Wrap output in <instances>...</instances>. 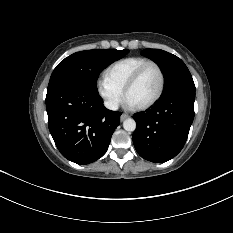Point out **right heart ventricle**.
Here are the masks:
<instances>
[{
  "instance_id": "right-heart-ventricle-1",
  "label": "right heart ventricle",
  "mask_w": 233,
  "mask_h": 233,
  "mask_svg": "<svg viewBox=\"0 0 233 233\" xmlns=\"http://www.w3.org/2000/svg\"><path fill=\"white\" fill-rule=\"evenodd\" d=\"M147 61L149 59L141 56L120 59L106 69L105 77L123 91L131 75Z\"/></svg>"
}]
</instances>
